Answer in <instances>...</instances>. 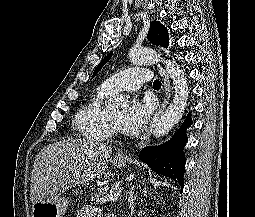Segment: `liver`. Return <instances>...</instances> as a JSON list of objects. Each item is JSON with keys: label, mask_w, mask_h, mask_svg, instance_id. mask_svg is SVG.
<instances>
[{"label": "liver", "mask_w": 255, "mask_h": 217, "mask_svg": "<svg viewBox=\"0 0 255 217\" xmlns=\"http://www.w3.org/2000/svg\"><path fill=\"white\" fill-rule=\"evenodd\" d=\"M111 154V146L91 140H64L44 147L33 165L32 203L53 198L61 191L101 176Z\"/></svg>", "instance_id": "6515ba94"}]
</instances>
